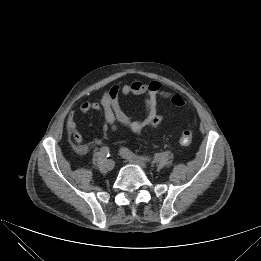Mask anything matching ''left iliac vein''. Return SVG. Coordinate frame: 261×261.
<instances>
[{"label":"left iliac vein","mask_w":261,"mask_h":261,"mask_svg":"<svg viewBox=\"0 0 261 261\" xmlns=\"http://www.w3.org/2000/svg\"><path fill=\"white\" fill-rule=\"evenodd\" d=\"M121 156L127 160L128 162L132 163V164H136V165H139L140 167L142 168H145L146 165H145V162L141 159H138V158H130L128 157L127 155H125L122 151L120 152Z\"/></svg>","instance_id":"4c4485c4"}]
</instances>
